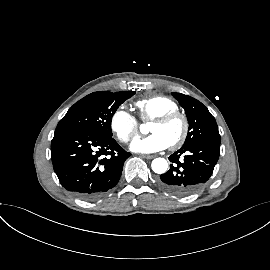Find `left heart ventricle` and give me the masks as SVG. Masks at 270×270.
I'll return each instance as SVG.
<instances>
[{
	"label": "left heart ventricle",
	"mask_w": 270,
	"mask_h": 270,
	"mask_svg": "<svg viewBox=\"0 0 270 270\" xmlns=\"http://www.w3.org/2000/svg\"><path fill=\"white\" fill-rule=\"evenodd\" d=\"M182 129L183 124L180 119H174L165 124L152 123L149 127V131L152 134L162 136L169 145L179 138Z\"/></svg>",
	"instance_id": "b2bd125f"
}]
</instances>
